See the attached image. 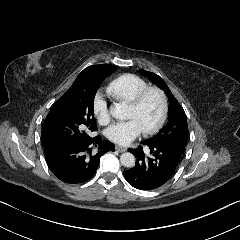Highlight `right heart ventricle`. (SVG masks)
Segmentation results:
<instances>
[{
    "label": "right heart ventricle",
    "instance_id": "1",
    "mask_svg": "<svg viewBox=\"0 0 240 240\" xmlns=\"http://www.w3.org/2000/svg\"><path fill=\"white\" fill-rule=\"evenodd\" d=\"M148 84L141 77L134 74H124L107 86L108 95L119 104L128 105L136 94Z\"/></svg>",
    "mask_w": 240,
    "mask_h": 240
}]
</instances>
